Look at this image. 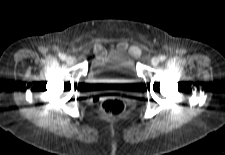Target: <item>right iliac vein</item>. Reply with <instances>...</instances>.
<instances>
[{"label": "right iliac vein", "mask_w": 225, "mask_h": 155, "mask_svg": "<svg viewBox=\"0 0 225 155\" xmlns=\"http://www.w3.org/2000/svg\"><path fill=\"white\" fill-rule=\"evenodd\" d=\"M66 63L72 65L74 63V58L72 56H67Z\"/></svg>", "instance_id": "right-iliac-vein-1"}]
</instances>
